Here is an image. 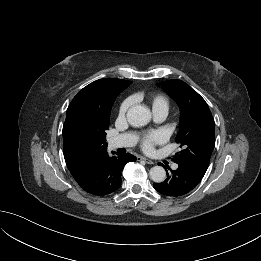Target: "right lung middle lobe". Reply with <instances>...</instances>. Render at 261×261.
<instances>
[{
    "label": "right lung middle lobe",
    "instance_id": "right-lung-middle-lobe-1",
    "mask_svg": "<svg viewBox=\"0 0 261 261\" xmlns=\"http://www.w3.org/2000/svg\"><path fill=\"white\" fill-rule=\"evenodd\" d=\"M109 119L110 113L92 125L82 129L80 132L81 140L94 149L106 148V130L109 128Z\"/></svg>",
    "mask_w": 261,
    "mask_h": 261
}]
</instances>
